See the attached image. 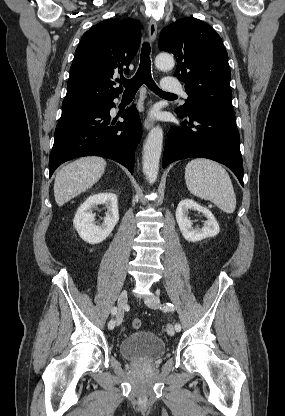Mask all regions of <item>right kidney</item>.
Masks as SVG:
<instances>
[{
    "mask_svg": "<svg viewBox=\"0 0 285 416\" xmlns=\"http://www.w3.org/2000/svg\"><path fill=\"white\" fill-rule=\"evenodd\" d=\"M98 204H104L107 208V214L102 226L94 224L95 214H92L93 208ZM119 220L118 202L116 194L106 192V194H94L89 196L81 206H79L73 220L74 228L77 230L80 238L88 244H99L108 238L114 226Z\"/></svg>",
    "mask_w": 285,
    "mask_h": 416,
    "instance_id": "ca27d5eb",
    "label": "right kidney"
}]
</instances>
